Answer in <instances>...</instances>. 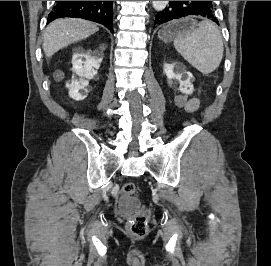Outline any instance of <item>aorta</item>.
Instances as JSON below:
<instances>
[{
	"label": "aorta",
	"instance_id": "1",
	"mask_svg": "<svg viewBox=\"0 0 271 266\" xmlns=\"http://www.w3.org/2000/svg\"><path fill=\"white\" fill-rule=\"evenodd\" d=\"M169 1H152L153 8L157 11H162L166 8Z\"/></svg>",
	"mask_w": 271,
	"mask_h": 266
}]
</instances>
